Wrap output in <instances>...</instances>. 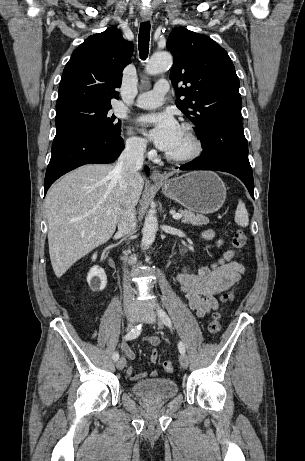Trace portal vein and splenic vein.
Segmentation results:
<instances>
[{
	"label": "portal vein and splenic vein",
	"instance_id": "portal-vein-and-splenic-vein-1",
	"mask_svg": "<svg viewBox=\"0 0 305 461\" xmlns=\"http://www.w3.org/2000/svg\"><path fill=\"white\" fill-rule=\"evenodd\" d=\"M173 218L174 219H180V218H182V215L180 213H175V214H173Z\"/></svg>",
	"mask_w": 305,
	"mask_h": 461
}]
</instances>
